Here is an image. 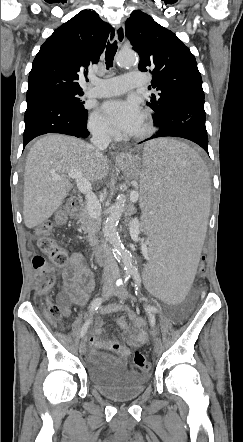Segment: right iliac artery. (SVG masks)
<instances>
[{"mask_svg":"<svg viewBox=\"0 0 243 442\" xmlns=\"http://www.w3.org/2000/svg\"><path fill=\"white\" fill-rule=\"evenodd\" d=\"M130 276H131V273H129V272L125 273V282L130 278ZM101 303H102V299L100 297H97V298L93 299V301L91 302L90 307H89V314H90V316H92L98 310V308L100 307ZM90 322H91V320L88 319L84 323V325L82 326L81 337H83L86 334Z\"/></svg>","mask_w":243,"mask_h":442,"instance_id":"82829eb1","label":"right iliac artery"}]
</instances>
